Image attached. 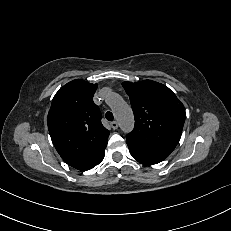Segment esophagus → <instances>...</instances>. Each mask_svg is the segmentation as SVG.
<instances>
[{
	"label": "esophagus",
	"mask_w": 231,
	"mask_h": 231,
	"mask_svg": "<svg viewBox=\"0 0 231 231\" xmlns=\"http://www.w3.org/2000/svg\"><path fill=\"white\" fill-rule=\"evenodd\" d=\"M111 127L112 129L116 130L118 128V122L116 121L111 122Z\"/></svg>",
	"instance_id": "obj_1"
}]
</instances>
